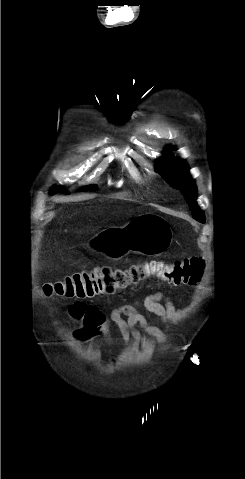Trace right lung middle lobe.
<instances>
[{
	"label": "right lung middle lobe",
	"mask_w": 245,
	"mask_h": 479,
	"mask_svg": "<svg viewBox=\"0 0 245 479\" xmlns=\"http://www.w3.org/2000/svg\"><path fill=\"white\" fill-rule=\"evenodd\" d=\"M96 189H97V187L93 185V186L85 187L82 190L83 191H92V190H96Z\"/></svg>",
	"instance_id": "dd1d6c3e"
}]
</instances>
